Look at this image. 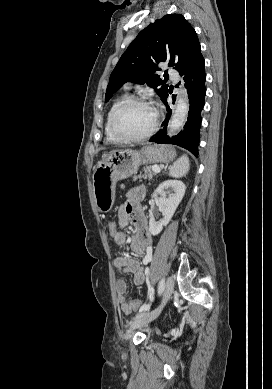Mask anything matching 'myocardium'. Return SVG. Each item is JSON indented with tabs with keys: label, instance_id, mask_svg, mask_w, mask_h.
<instances>
[{
	"label": "myocardium",
	"instance_id": "f54148a6",
	"mask_svg": "<svg viewBox=\"0 0 272 389\" xmlns=\"http://www.w3.org/2000/svg\"><path fill=\"white\" fill-rule=\"evenodd\" d=\"M132 104H141L148 106L149 108L152 109L153 114H154V120L152 123V126L150 129L145 132L144 134L138 135V136H126L123 135L117 128L116 121L119 116V114L122 112L123 109H125L127 106L132 105ZM159 125V113L157 110L151 105L150 102H148L146 99H143L141 97H128L125 100H123L113 111L110 119V129L112 134L114 135L115 138H117L121 142H137V141H142L147 138H149L151 135L154 134V132L157 130Z\"/></svg>",
	"mask_w": 272,
	"mask_h": 389
}]
</instances>
